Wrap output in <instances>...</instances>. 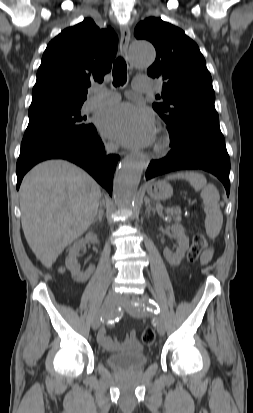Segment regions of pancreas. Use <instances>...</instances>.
<instances>
[{
    "instance_id": "cf45deb5",
    "label": "pancreas",
    "mask_w": 253,
    "mask_h": 413,
    "mask_svg": "<svg viewBox=\"0 0 253 413\" xmlns=\"http://www.w3.org/2000/svg\"><path fill=\"white\" fill-rule=\"evenodd\" d=\"M167 214L172 217L175 221L180 222L181 221V216L180 212L177 209H166Z\"/></svg>"
}]
</instances>
